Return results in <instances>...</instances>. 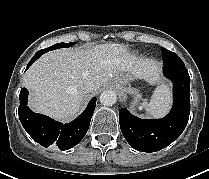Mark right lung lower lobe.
Listing matches in <instances>:
<instances>
[{"label":"right lung lower lobe","instance_id":"obj_1","mask_svg":"<svg viewBox=\"0 0 209 179\" xmlns=\"http://www.w3.org/2000/svg\"><path fill=\"white\" fill-rule=\"evenodd\" d=\"M41 55L42 53H36L28 63L26 70ZM19 99V118L26 132L43 147L48 148L50 145H54L58 146L60 150L71 149L83 139L96 106L94 97L75 120L62 124L48 116L31 111L27 106L28 90L26 88H21Z\"/></svg>","mask_w":209,"mask_h":179}]
</instances>
